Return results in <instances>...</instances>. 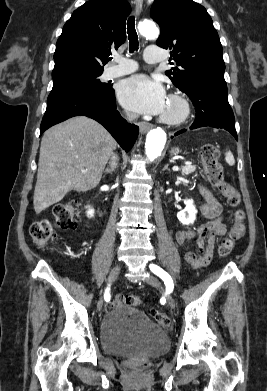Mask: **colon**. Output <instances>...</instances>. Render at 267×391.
I'll use <instances>...</instances> for the list:
<instances>
[{"instance_id":"1","label":"colon","mask_w":267,"mask_h":391,"mask_svg":"<svg viewBox=\"0 0 267 391\" xmlns=\"http://www.w3.org/2000/svg\"><path fill=\"white\" fill-rule=\"evenodd\" d=\"M200 155L208 182L218 189L230 207L237 208L240 204V195L232 185L225 181L223 168L219 162V150L217 146L213 143H205L201 147ZM78 208L79 204L76 200H68L56 204L53 208L52 220L45 218L31 225L30 235L34 244L39 248H43L56 237L57 229H74ZM233 219L232 228L228 235L221 240L218 248V253L221 257L230 254L235 243L244 236L246 231L244 223L245 213L242 210H235ZM123 304L137 307L141 304V298L133 294L126 296L122 294L116 295L112 301V305L119 306ZM150 314L158 325L163 328H169L171 320L167 314L157 310H151Z\"/></svg>"}]
</instances>
